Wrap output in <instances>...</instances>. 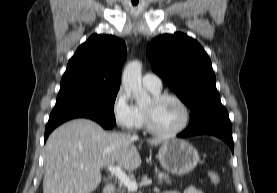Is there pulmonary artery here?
Masks as SVG:
<instances>
[{
  "mask_svg": "<svg viewBox=\"0 0 277 193\" xmlns=\"http://www.w3.org/2000/svg\"><path fill=\"white\" fill-rule=\"evenodd\" d=\"M142 84L151 91L159 92L162 89L161 79L153 73L144 74L142 76Z\"/></svg>",
  "mask_w": 277,
  "mask_h": 193,
  "instance_id": "e3ab8cb5",
  "label": "pulmonary artery"
}]
</instances>
